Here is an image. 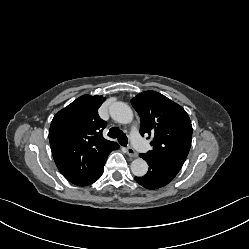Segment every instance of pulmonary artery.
I'll return each instance as SVG.
<instances>
[{
  "mask_svg": "<svg viewBox=\"0 0 249 249\" xmlns=\"http://www.w3.org/2000/svg\"><path fill=\"white\" fill-rule=\"evenodd\" d=\"M131 142L132 144L140 151H145L148 147L147 142L145 139L140 135L137 130H133L131 132Z\"/></svg>",
  "mask_w": 249,
  "mask_h": 249,
  "instance_id": "obj_1",
  "label": "pulmonary artery"
}]
</instances>
